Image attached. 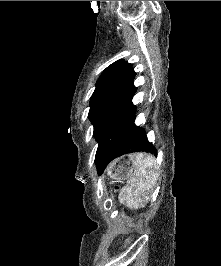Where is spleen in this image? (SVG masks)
<instances>
[{"label":"spleen","instance_id":"obj_1","mask_svg":"<svg viewBox=\"0 0 221 266\" xmlns=\"http://www.w3.org/2000/svg\"><path fill=\"white\" fill-rule=\"evenodd\" d=\"M132 162L136 170L125 188L127 194L125 199L129 205L140 207L148 202L150 194L156 187L159 166L153 156L143 153L134 154Z\"/></svg>","mask_w":221,"mask_h":266}]
</instances>
